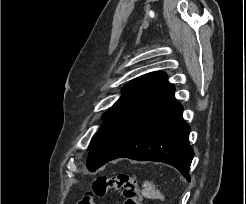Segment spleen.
I'll list each match as a JSON object with an SVG mask.
<instances>
[{
    "instance_id": "1",
    "label": "spleen",
    "mask_w": 246,
    "mask_h": 204,
    "mask_svg": "<svg viewBox=\"0 0 246 204\" xmlns=\"http://www.w3.org/2000/svg\"><path fill=\"white\" fill-rule=\"evenodd\" d=\"M142 195L148 199L164 200V195L156 188L151 181H145L142 185Z\"/></svg>"
}]
</instances>
